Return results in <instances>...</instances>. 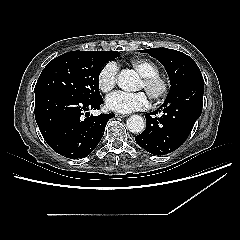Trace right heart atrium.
Segmentation results:
<instances>
[{"mask_svg": "<svg viewBox=\"0 0 240 240\" xmlns=\"http://www.w3.org/2000/svg\"><path fill=\"white\" fill-rule=\"evenodd\" d=\"M118 66L114 61L105 63L97 75V85L101 92L107 93L112 90L117 83Z\"/></svg>", "mask_w": 240, "mask_h": 240, "instance_id": "obj_1", "label": "right heart atrium"}]
</instances>
